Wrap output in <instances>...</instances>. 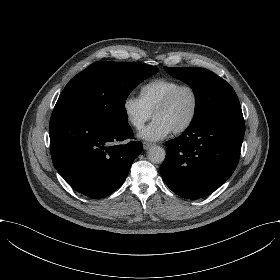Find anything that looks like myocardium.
Returning <instances> with one entry per match:
<instances>
[{
	"mask_svg": "<svg viewBox=\"0 0 280 280\" xmlns=\"http://www.w3.org/2000/svg\"><path fill=\"white\" fill-rule=\"evenodd\" d=\"M184 89H190L193 92L194 97H195V106H194V110H193V113H192L190 119L183 125L176 128L174 130L175 133H183V132L189 130L196 122L199 112H200V107H201V95H200L198 88L195 85L189 84V83H184V84L179 85L165 99H163L156 106L155 110L153 111V115H155L157 112L168 108L173 103V101L178 96V94L181 91H183Z\"/></svg>",
	"mask_w": 280,
	"mask_h": 280,
	"instance_id": "myocardium-1",
	"label": "myocardium"
}]
</instances>
